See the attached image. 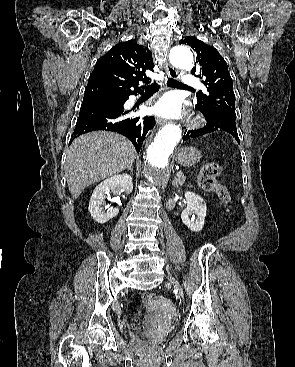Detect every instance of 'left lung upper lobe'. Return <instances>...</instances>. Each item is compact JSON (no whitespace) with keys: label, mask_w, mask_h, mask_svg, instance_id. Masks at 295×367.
<instances>
[{"label":"left lung upper lobe","mask_w":295,"mask_h":367,"mask_svg":"<svg viewBox=\"0 0 295 367\" xmlns=\"http://www.w3.org/2000/svg\"><path fill=\"white\" fill-rule=\"evenodd\" d=\"M179 44L189 45L196 51L197 65L191 73H198L197 77L203 79L209 93L197 97V108L209 115L229 113L236 117L233 82L224 58L213 46L194 36L180 40Z\"/></svg>","instance_id":"1"}]
</instances>
